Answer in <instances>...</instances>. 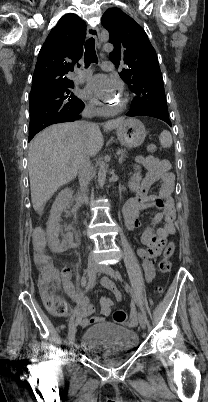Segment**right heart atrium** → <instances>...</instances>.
I'll use <instances>...</instances> for the list:
<instances>
[{"mask_svg": "<svg viewBox=\"0 0 208 402\" xmlns=\"http://www.w3.org/2000/svg\"><path fill=\"white\" fill-rule=\"evenodd\" d=\"M86 108H87L88 110L92 111V112H95V113L100 112V108H99V106H98V103L95 102V101H92V102H90V103H87V104H86Z\"/></svg>", "mask_w": 208, "mask_h": 402, "instance_id": "d8ad5b80", "label": "right heart atrium"}]
</instances>
